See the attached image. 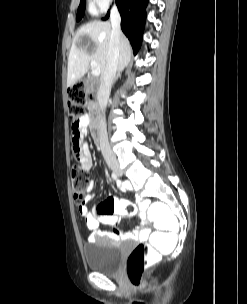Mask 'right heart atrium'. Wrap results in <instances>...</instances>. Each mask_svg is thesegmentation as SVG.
I'll return each instance as SVG.
<instances>
[{
    "instance_id": "1",
    "label": "right heart atrium",
    "mask_w": 247,
    "mask_h": 304,
    "mask_svg": "<svg viewBox=\"0 0 247 304\" xmlns=\"http://www.w3.org/2000/svg\"><path fill=\"white\" fill-rule=\"evenodd\" d=\"M114 0H90L93 9L103 12L108 9Z\"/></svg>"
}]
</instances>
